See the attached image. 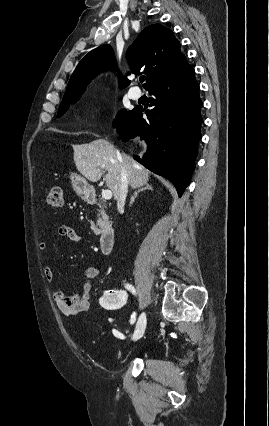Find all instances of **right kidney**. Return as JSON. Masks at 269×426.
<instances>
[{
  "label": "right kidney",
  "mask_w": 269,
  "mask_h": 426,
  "mask_svg": "<svg viewBox=\"0 0 269 426\" xmlns=\"http://www.w3.org/2000/svg\"><path fill=\"white\" fill-rule=\"evenodd\" d=\"M128 289L124 288L116 296H109V294H104V296L99 300L100 309L102 311H122L128 301Z\"/></svg>",
  "instance_id": "right-kidney-1"
}]
</instances>
